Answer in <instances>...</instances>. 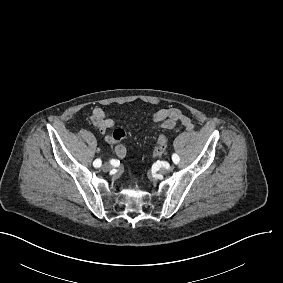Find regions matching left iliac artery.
<instances>
[{
	"mask_svg": "<svg viewBox=\"0 0 283 283\" xmlns=\"http://www.w3.org/2000/svg\"><path fill=\"white\" fill-rule=\"evenodd\" d=\"M172 160H173V162H174L175 164H178L179 161H180V158H179V156H178L177 154H173V155H172Z\"/></svg>",
	"mask_w": 283,
	"mask_h": 283,
	"instance_id": "1",
	"label": "left iliac artery"
}]
</instances>
